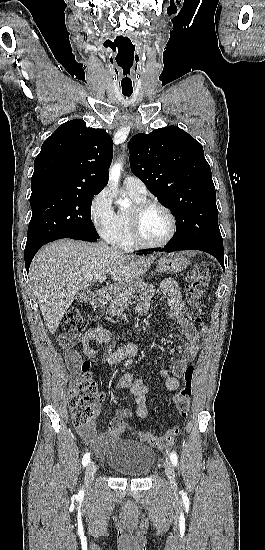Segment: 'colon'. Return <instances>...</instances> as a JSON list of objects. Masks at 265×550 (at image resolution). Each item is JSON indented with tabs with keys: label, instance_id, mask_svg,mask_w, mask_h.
Here are the masks:
<instances>
[{
	"label": "colon",
	"instance_id": "colon-1",
	"mask_svg": "<svg viewBox=\"0 0 265 550\" xmlns=\"http://www.w3.org/2000/svg\"><path fill=\"white\" fill-rule=\"evenodd\" d=\"M185 306L189 320L203 329L202 306L203 295L209 282V267L205 262L194 265L187 276ZM87 328V321L77 308L67 310L62 329L64 333H81ZM90 364L84 362L81 366L82 377L69 393V408L72 421L77 428H87L94 424L96 413L103 401L104 394L98 389L89 372ZM194 365H189L183 374V386L173 397L178 414L187 416L191 398ZM130 430L129 425L121 417L113 418L109 423V432L114 436H122ZM179 427L173 426L165 434L157 436L150 432L140 434V439L152 447L165 449L170 447L179 435Z\"/></svg>",
	"mask_w": 265,
	"mask_h": 550
}]
</instances>
